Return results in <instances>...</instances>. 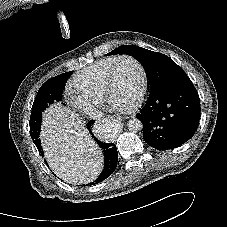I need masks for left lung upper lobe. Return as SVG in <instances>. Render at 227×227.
Returning <instances> with one entry per match:
<instances>
[{
  "instance_id": "1",
  "label": "left lung upper lobe",
  "mask_w": 227,
  "mask_h": 227,
  "mask_svg": "<svg viewBox=\"0 0 227 227\" xmlns=\"http://www.w3.org/2000/svg\"><path fill=\"white\" fill-rule=\"evenodd\" d=\"M111 54H129L136 58L146 70L150 92L161 88L167 83L187 76L182 68L168 56L138 46L122 45L107 55Z\"/></svg>"
}]
</instances>
